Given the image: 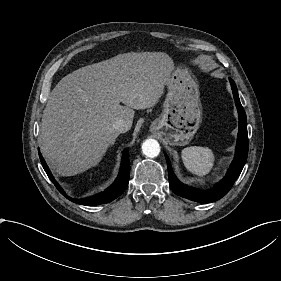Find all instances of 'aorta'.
I'll return each mask as SVG.
<instances>
[{
	"label": "aorta",
	"mask_w": 281,
	"mask_h": 281,
	"mask_svg": "<svg viewBox=\"0 0 281 281\" xmlns=\"http://www.w3.org/2000/svg\"><path fill=\"white\" fill-rule=\"evenodd\" d=\"M142 151L147 157L154 158L160 153V145L155 139H147L142 144Z\"/></svg>",
	"instance_id": "aorta-1"
}]
</instances>
